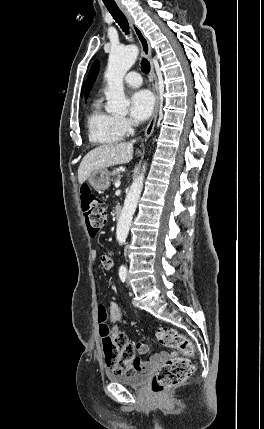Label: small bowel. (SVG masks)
Returning a JSON list of instances; mask_svg holds the SVG:
<instances>
[{
    "label": "small bowel",
    "mask_w": 264,
    "mask_h": 429,
    "mask_svg": "<svg viewBox=\"0 0 264 429\" xmlns=\"http://www.w3.org/2000/svg\"><path fill=\"white\" fill-rule=\"evenodd\" d=\"M91 255H92L93 259H95L97 257V250H93L91 252ZM100 261H101L102 267L106 270L112 269V267L114 265L112 255L110 253L102 255L100 257ZM100 306H103V305H100ZM97 314H98V309H97ZM106 315H107V312H106ZM125 318H126V315H125L123 308L116 303L111 304L110 311H109L110 325L107 324L106 321H105V328H103V326L101 324H99V334L102 338V344H104V341L108 337H110L112 335L121 334L116 323L124 320ZM136 350L138 351V353L140 355L146 354L149 351V345L146 343L140 342V343L136 344ZM168 357H169V355L167 353H161V354L153 356L151 358V360L148 362V361H145L141 356H137V357H134L133 360L128 364V367L133 372H135V371L143 372V371H146L153 366L160 364L161 362L166 360Z\"/></svg>",
    "instance_id": "c3829d8e"
}]
</instances>
